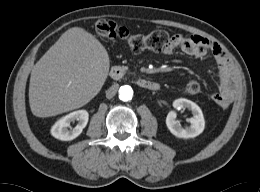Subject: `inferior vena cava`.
<instances>
[{
	"label": "inferior vena cava",
	"instance_id": "inferior-vena-cava-1",
	"mask_svg": "<svg viewBox=\"0 0 260 192\" xmlns=\"http://www.w3.org/2000/svg\"><path fill=\"white\" fill-rule=\"evenodd\" d=\"M116 91H117V89H116L115 86L110 87V88L106 91V97H107L108 99H111L112 97L115 96Z\"/></svg>",
	"mask_w": 260,
	"mask_h": 192
}]
</instances>
